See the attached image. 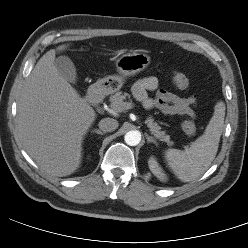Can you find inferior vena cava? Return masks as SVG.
Masks as SVG:
<instances>
[{
    "label": "inferior vena cava",
    "instance_id": "obj_1",
    "mask_svg": "<svg viewBox=\"0 0 248 248\" xmlns=\"http://www.w3.org/2000/svg\"><path fill=\"white\" fill-rule=\"evenodd\" d=\"M98 125L103 132H111L117 129L118 121L113 118H104Z\"/></svg>",
    "mask_w": 248,
    "mask_h": 248
}]
</instances>
